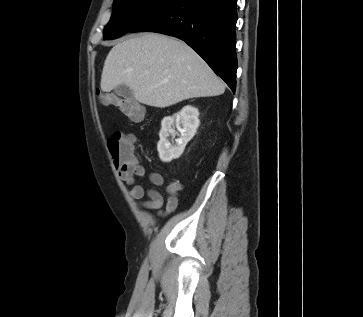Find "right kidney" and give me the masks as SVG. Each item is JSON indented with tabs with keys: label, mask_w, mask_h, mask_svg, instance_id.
Masks as SVG:
<instances>
[{
	"label": "right kidney",
	"mask_w": 363,
	"mask_h": 317,
	"mask_svg": "<svg viewBox=\"0 0 363 317\" xmlns=\"http://www.w3.org/2000/svg\"><path fill=\"white\" fill-rule=\"evenodd\" d=\"M198 117V109L191 105L183 107L173 116L164 117L159 133L160 140L157 144L159 158L162 162H170L181 156L187 143L196 134L200 124ZM175 127L180 132V137L175 139L176 144L172 145L168 137L172 136L173 139L178 134Z\"/></svg>",
	"instance_id": "right-kidney-1"
}]
</instances>
